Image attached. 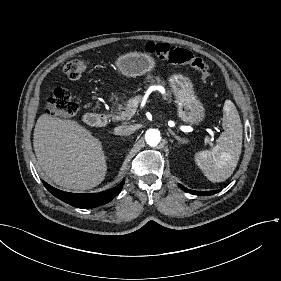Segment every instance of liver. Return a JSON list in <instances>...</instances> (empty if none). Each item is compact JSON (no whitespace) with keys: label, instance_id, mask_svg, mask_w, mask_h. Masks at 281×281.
Here are the masks:
<instances>
[{"label":"liver","instance_id":"1","mask_svg":"<svg viewBox=\"0 0 281 281\" xmlns=\"http://www.w3.org/2000/svg\"><path fill=\"white\" fill-rule=\"evenodd\" d=\"M33 148L42 171L61 187L90 190L106 179L103 143L78 121L41 115L34 128Z\"/></svg>","mask_w":281,"mask_h":281}]
</instances>
